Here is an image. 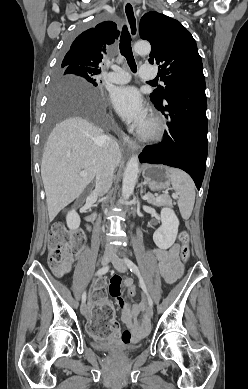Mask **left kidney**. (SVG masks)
Wrapping results in <instances>:
<instances>
[{
    "instance_id": "5707ae66",
    "label": "left kidney",
    "mask_w": 248,
    "mask_h": 389,
    "mask_svg": "<svg viewBox=\"0 0 248 389\" xmlns=\"http://www.w3.org/2000/svg\"><path fill=\"white\" fill-rule=\"evenodd\" d=\"M161 226L154 232L153 241L160 249L170 248L177 237L179 220L170 208L161 210Z\"/></svg>"
}]
</instances>
